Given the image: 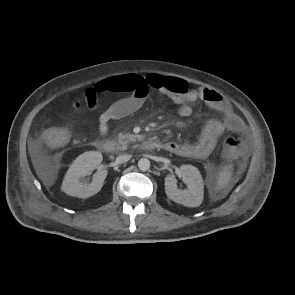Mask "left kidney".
<instances>
[{
  "label": "left kidney",
  "instance_id": "5707ae66",
  "mask_svg": "<svg viewBox=\"0 0 295 295\" xmlns=\"http://www.w3.org/2000/svg\"><path fill=\"white\" fill-rule=\"evenodd\" d=\"M180 175L187 189L177 188V180L172 175L165 177V193L175 203L186 207H198L203 201L204 184L199 170L192 165H182Z\"/></svg>",
  "mask_w": 295,
  "mask_h": 295
}]
</instances>
